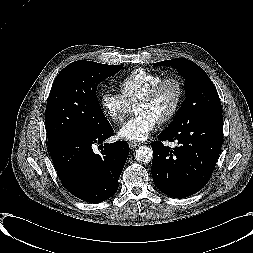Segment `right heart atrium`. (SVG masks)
Listing matches in <instances>:
<instances>
[{"mask_svg": "<svg viewBox=\"0 0 253 253\" xmlns=\"http://www.w3.org/2000/svg\"><path fill=\"white\" fill-rule=\"evenodd\" d=\"M99 105L106 116L112 122H122L128 112L129 103L120 93L104 92L99 97Z\"/></svg>", "mask_w": 253, "mask_h": 253, "instance_id": "obj_1", "label": "right heart atrium"}]
</instances>
